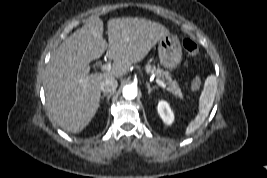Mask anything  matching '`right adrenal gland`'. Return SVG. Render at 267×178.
Listing matches in <instances>:
<instances>
[{"label":"right adrenal gland","instance_id":"2a0ac1e0","mask_svg":"<svg viewBox=\"0 0 267 178\" xmlns=\"http://www.w3.org/2000/svg\"><path fill=\"white\" fill-rule=\"evenodd\" d=\"M111 96H112L111 93H110V94H103V95L101 96V99H104V97H107V102H109Z\"/></svg>","mask_w":267,"mask_h":178}]
</instances>
